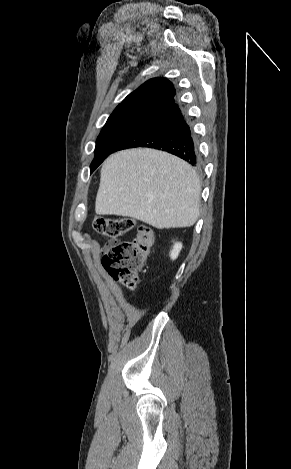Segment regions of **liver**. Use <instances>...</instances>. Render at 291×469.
Returning <instances> with one entry per match:
<instances>
[{"label": "liver", "mask_w": 291, "mask_h": 469, "mask_svg": "<svg viewBox=\"0 0 291 469\" xmlns=\"http://www.w3.org/2000/svg\"><path fill=\"white\" fill-rule=\"evenodd\" d=\"M200 194L199 178L185 161L154 149H129L104 161L95 211L158 229L190 227L199 217Z\"/></svg>", "instance_id": "6515ba94"}]
</instances>
